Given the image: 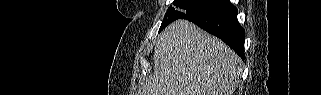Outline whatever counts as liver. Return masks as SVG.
Listing matches in <instances>:
<instances>
[{"instance_id":"obj_1","label":"liver","mask_w":321,"mask_h":95,"mask_svg":"<svg viewBox=\"0 0 321 95\" xmlns=\"http://www.w3.org/2000/svg\"><path fill=\"white\" fill-rule=\"evenodd\" d=\"M153 59L140 95H232L242 70L232 49L187 20L165 28Z\"/></svg>"}]
</instances>
